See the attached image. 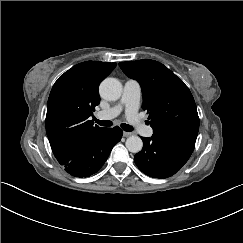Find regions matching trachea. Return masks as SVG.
<instances>
[{
    "mask_svg": "<svg viewBox=\"0 0 243 243\" xmlns=\"http://www.w3.org/2000/svg\"><path fill=\"white\" fill-rule=\"evenodd\" d=\"M93 120L101 126H105V127L112 126V121H109V120H98L95 117L93 118ZM121 128L126 132H132L134 130L133 126L128 125L126 123L121 124Z\"/></svg>",
    "mask_w": 243,
    "mask_h": 243,
    "instance_id": "trachea-1",
    "label": "trachea"
}]
</instances>
